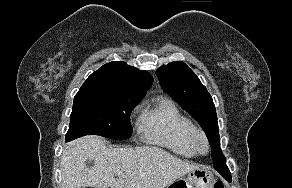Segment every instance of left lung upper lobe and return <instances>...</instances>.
Masks as SVG:
<instances>
[{
	"instance_id": "left-lung-upper-lobe-1",
	"label": "left lung upper lobe",
	"mask_w": 292,
	"mask_h": 188,
	"mask_svg": "<svg viewBox=\"0 0 292 188\" xmlns=\"http://www.w3.org/2000/svg\"><path fill=\"white\" fill-rule=\"evenodd\" d=\"M156 75L162 89L192 115L205 131L211 146L214 167L226 162L220 149L217 115L212 97L195 73L184 62L174 61L157 69ZM223 171L225 173L228 169Z\"/></svg>"
}]
</instances>
